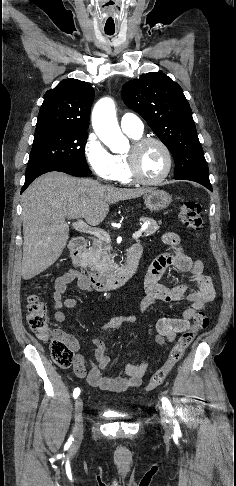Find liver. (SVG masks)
I'll return each instance as SVG.
<instances>
[{"label": "liver", "mask_w": 236, "mask_h": 486, "mask_svg": "<svg viewBox=\"0 0 236 486\" xmlns=\"http://www.w3.org/2000/svg\"><path fill=\"white\" fill-rule=\"evenodd\" d=\"M152 189H121L92 179L50 172L37 178L22 195V278L42 273L61 256L69 239L66 218L99 225L109 204L140 197Z\"/></svg>", "instance_id": "obj_1"}]
</instances>
